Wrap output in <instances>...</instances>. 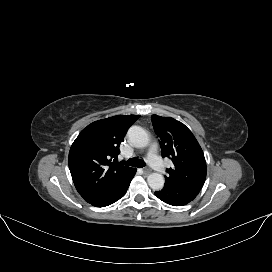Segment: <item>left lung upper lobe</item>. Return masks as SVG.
Here are the masks:
<instances>
[{
    "mask_svg": "<svg viewBox=\"0 0 272 272\" xmlns=\"http://www.w3.org/2000/svg\"><path fill=\"white\" fill-rule=\"evenodd\" d=\"M151 119L160 139L162 156L170 158L174 164L167 169L164 186L201 190L206 179V161L192 132L171 117L154 114Z\"/></svg>",
    "mask_w": 272,
    "mask_h": 272,
    "instance_id": "5c2ea615",
    "label": "left lung upper lobe"
}]
</instances>
